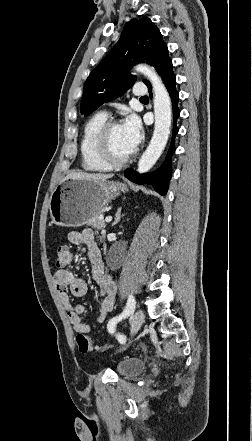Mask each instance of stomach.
I'll return each mask as SVG.
<instances>
[{"label":"stomach","instance_id":"1","mask_svg":"<svg viewBox=\"0 0 252 441\" xmlns=\"http://www.w3.org/2000/svg\"><path fill=\"white\" fill-rule=\"evenodd\" d=\"M127 191L126 184L116 181L65 180L50 197L52 223L64 227L82 226L99 215L112 199Z\"/></svg>","mask_w":252,"mask_h":441}]
</instances>
